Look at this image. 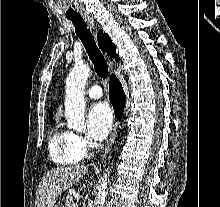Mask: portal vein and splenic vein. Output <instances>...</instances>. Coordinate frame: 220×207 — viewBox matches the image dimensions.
I'll list each match as a JSON object with an SVG mask.
<instances>
[{
	"label": "portal vein and splenic vein",
	"instance_id": "18ae733b",
	"mask_svg": "<svg viewBox=\"0 0 220 207\" xmlns=\"http://www.w3.org/2000/svg\"><path fill=\"white\" fill-rule=\"evenodd\" d=\"M72 207H78L77 203H73Z\"/></svg>",
	"mask_w": 220,
	"mask_h": 207
}]
</instances>
